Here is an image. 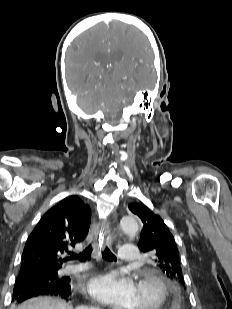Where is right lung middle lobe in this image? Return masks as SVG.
<instances>
[{"mask_svg": "<svg viewBox=\"0 0 232 309\" xmlns=\"http://www.w3.org/2000/svg\"><path fill=\"white\" fill-rule=\"evenodd\" d=\"M57 271L58 270L43 272L41 274H36V273L22 274V273H20L17 278L24 279V280H32L35 283H43V284H46V285H55L57 283L64 282V280L66 279L64 277L60 278L58 276Z\"/></svg>", "mask_w": 232, "mask_h": 309, "instance_id": "right-lung-middle-lobe-1", "label": "right lung middle lobe"}]
</instances>
